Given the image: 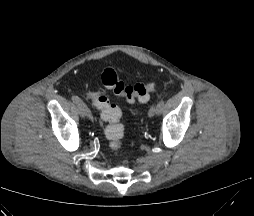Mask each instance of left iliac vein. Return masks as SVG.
<instances>
[{
    "instance_id": "left-iliac-vein-1",
    "label": "left iliac vein",
    "mask_w": 254,
    "mask_h": 216,
    "mask_svg": "<svg viewBox=\"0 0 254 216\" xmlns=\"http://www.w3.org/2000/svg\"><path fill=\"white\" fill-rule=\"evenodd\" d=\"M156 113H157V107L156 106H152L149 109V111H148V116L149 117H153Z\"/></svg>"
}]
</instances>
